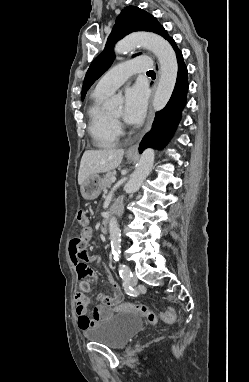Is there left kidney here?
I'll use <instances>...</instances> for the list:
<instances>
[{
    "mask_svg": "<svg viewBox=\"0 0 249 382\" xmlns=\"http://www.w3.org/2000/svg\"><path fill=\"white\" fill-rule=\"evenodd\" d=\"M113 258V257H112ZM98 266L101 264L99 261L96 263ZM104 266H108V267H113L114 266V261L113 260H108V261H104L102 263Z\"/></svg>",
    "mask_w": 249,
    "mask_h": 382,
    "instance_id": "left-kidney-1",
    "label": "left kidney"
}]
</instances>
